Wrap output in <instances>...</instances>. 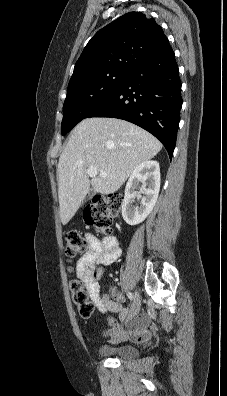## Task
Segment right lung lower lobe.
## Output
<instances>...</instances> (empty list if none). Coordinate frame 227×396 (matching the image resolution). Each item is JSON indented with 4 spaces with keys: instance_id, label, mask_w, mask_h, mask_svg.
<instances>
[{
    "instance_id": "obj_1",
    "label": "right lung lower lobe",
    "mask_w": 227,
    "mask_h": 396,
    "mask_svg": "<svg viewBox=\"0 0 227 396\" xmlns=\"http://www.w3.org/2000/svg\"><path fill=\"white\" fill-rule=\"evenodd\" d=\"M181 106L178 65L168 44L139 62L125 82L86 118L112 117L134 123L159 139L171 158Z\"/></svg>"
}]
</instances>
